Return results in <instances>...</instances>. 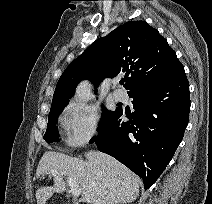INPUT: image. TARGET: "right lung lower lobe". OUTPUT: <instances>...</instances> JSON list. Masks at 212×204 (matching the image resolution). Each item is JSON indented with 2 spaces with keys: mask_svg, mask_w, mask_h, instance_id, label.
<instances>
[{
  "mask_svg": "<svg viewBox=\"0 0 212 204\" xmlns=\"http://www.w3.org/2000/svg\"><path fill=\"white\" fill-rule=\"evenodd\" d=\"M135 111L120 109L103 127L95 142L99 151L126 165L148 189L172 159L187 127L189 84L184 69L170 79L128 93ZM128 118V121H123Z\"/></svg>",
  "mask_w": 212,
  "mask_h": 204,
  "instance_id": "right-lung-lower-lobe-1",
  "label": "right lung lower lobe"
}]
</instances>
